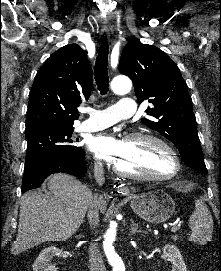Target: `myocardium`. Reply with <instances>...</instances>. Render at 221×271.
Listing matches in <instances>:
<instances>
[{
  "mask_svg": "<svg viewBox=\"0 0 221 271\" xmlns=\"http://www.w3.org/2000/svg\"><path fill=\"white\" fill-rule=\"evenodd\" d=\"M164 140H170L150 129L142 133H129L128 137L125 138L126 142H133L131 145H134L136 142H144L146 145H149V150H163V155H165L164 164H168L171 171L164 174H151V173H131L129 170H121L122 166L118 165L116 158L108 159V168L111 171H114L115 175H121L124 179H135V178H150V183H165V178H174L182 170H180V165H177V160L175 156L176 150H170L169 142H164ZM144 146L146 150L148 147Z\"/></svg>",
  "mask_w": 221,
  "mask_h": 271,
  "instance_id": "obj_1",
  "label": "myocardium"
}]
</instances>
